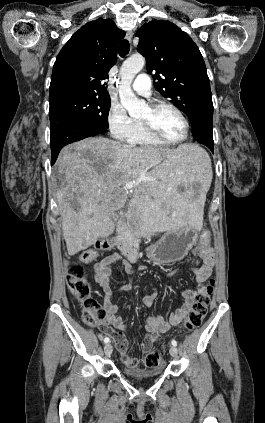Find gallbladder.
I'll use <instances>...</instances> for the list:
<instances>
[{"mask_svg": "<svg viewBox=\"0 0 265 423\" xmlns=\"http://www.w3.org/2000/svg\"><path fill=\"white\" fill-rule=\"evenodd\" d=\"M113 220H114V221H117V220H118V215H117V214H115V215L113 216Z\"/></svg>", "mask_w": 265, "mask_h": 423, "instance_id": "gallbladder-1", "label": "gallbladder"}]
</instances>
